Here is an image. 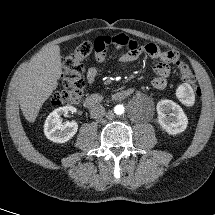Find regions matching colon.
<instances>
[{
  "mask_svg": "<svg viewBox=\"0 0 215 215\" xmlns=\"http://www.w3.org/2000/svg\"><path fill=\"white\" fill-rule=\"evenodd\" d=\"M94 52V44L86 41L81 43L74 53L65 57L63 67V89L55 92L50 101L55 106L71 105L78 103L83 95L84 82L82 80L83 62ZM182 74V78L191 84L195 94L200 96L199 89L195 86V78L189 67L178 60L175 63Z\"/></svg>",
  "mask_w": 215,
  "mask_h": 215,
  "instance_id": "colon-1",
  "label": "colon"
}]
</instances>
